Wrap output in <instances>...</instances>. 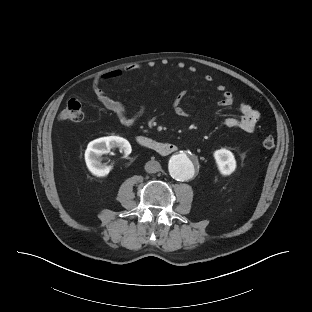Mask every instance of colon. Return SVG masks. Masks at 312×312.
<instances>
[{
	"label": "colon",
	"instance_id": "1",
	"mask_svg": "<svg viewBox=\"0 0 312 312\" xmlns=\"http://www.w3.org/2000/svg\"><path fill=\"white\" fill-rule=\"evenodd\" d=\"M84 113L81 102L72 98L67 101L65 107L59 113L60 121L79 122L83 119ZM262 144L266 149H272L275 146V139L272 135L264 137Z\"/></svg>",
	"mask_w": 312,
	"mask_h": 312
}]
</instances>
